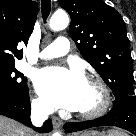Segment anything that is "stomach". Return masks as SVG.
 <instances>
[{"label":"stomach","instance_id":"stomach-1","mask_svg":"<svg viewBox=\"0 0 136 136\" xmlns=\"http://www.w3.org/2000/svg\"><path fill=\"white\" fill-rule=\"evenodd\" d=\"M80 136H106L105 134L98 131H87Z\"/></svg>","mask_w":136,"mask_h":136}]
</instances>
